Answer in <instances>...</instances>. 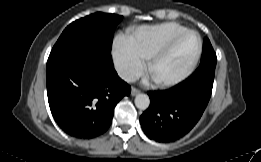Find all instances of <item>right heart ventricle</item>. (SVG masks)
Segmentation results:
<instances>
[{
  "instance_id": "1",
  "label": "right heart ventricle",
  "mask_w": 261,
  "mask_h": 162,
  "mask_svg": "<svg viewBox=\"0 0 261 162\" xmlns=\"http://www.w3.org/2000/svg\"><path fill=\"white\" fill-rule=\"evenodd\" d=\"M186 28L176 22L145 25L133 29L128 38L138 55L148 59L168 39Z\"/></svg>"
}]
</instances>
